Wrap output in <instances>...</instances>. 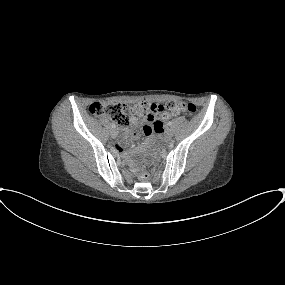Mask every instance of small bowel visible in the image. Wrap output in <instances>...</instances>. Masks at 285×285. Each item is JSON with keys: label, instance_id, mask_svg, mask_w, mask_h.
Listing matches in <instances>:
<instances>
[{"label": "small bowel", "instance_id": "c3829d8e", "mask_svg": "<svg viewBox=\"0 0 285 285\" xmlns=\"http://www.w3.org/2000/svg\"><path fill=\"white\" fill-rule=\"evenodd\" d=\"M153 106V110L159 113L164 112V106L161 104H156L153 102H149ZM143 123V132L147 137H151L154 132H157L161 126H162V121L161 120H156L151 117V115L144 116L143 118H138L133 116L130 119V126L126 130V139L124 141H121L115 145V149L122 155L125 154L124 150V144L130 139H136L138 138V133L135 131L137 126L139 124Z\"/></svg>", "mask_w": 285, "mask_h": 285}]
</instances>
